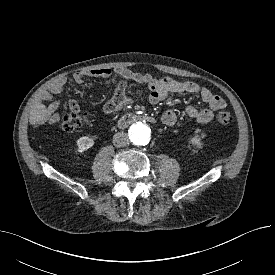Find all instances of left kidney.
<instances>
[{"label": "left kidney", "instance_id": "obj_1", "mask_svg": "<svg viewBox=\"0 0 275 275\" xmlns=\"http://www.w3.org/2000/svg\"><path fill=\"white\" fill-rule=\"evenodd\" d=\"M205 136V133H200L199 131H196L195 136L190 139V143L196 148L201 149L203 147L201 140L205 138Z\"/></svg>", "mask_w": 275, "mask_h": 275}]
</instances>
